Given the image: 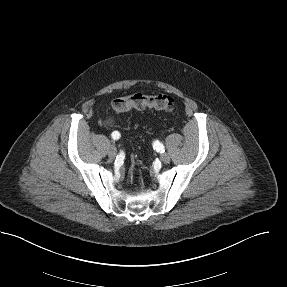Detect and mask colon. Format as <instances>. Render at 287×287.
<instances>
[{
    "mask_svg": "<svg viewBox=\"0 0 287 287\" xmlns=\"http://www.w3.org/2000/svg\"><path fill=\"white\" fill-rule=\"evenodd\" d=\"M154 108L171 111L174 108V99L166 94L146 95L136 93L119 97L113 100L112 110L116 114H121L132 109Z\"/></svg>",
    "mask_w": 287,
    "mask_h": 287,
    "instance_id": "obj_1",
    "label": "colon"
}]
</instances>
